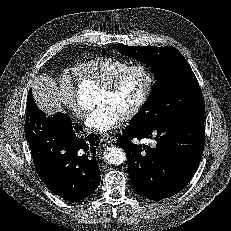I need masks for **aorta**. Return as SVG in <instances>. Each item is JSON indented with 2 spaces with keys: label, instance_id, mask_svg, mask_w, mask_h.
Instances as JSON below:
<instances>
[{
  "label": "aorta",
  "instance_id": "1",
  "mask_svg": "<svg viewBox=\"0 0 231 231\" xmlns=\"http://www.w3.org/2000/svg\"><path fill=\"white\" fill-rule=\"evenodd\" d=\"M78 92L79 102L83 107L89 108L94 105L92 90L81 87ZM104 158L112 165H121L126 160V153L122 148L113 146L105 150Z\"/></svg>",
  "mask_w": 231,
  "mask_h": 231
}]
</instances>
